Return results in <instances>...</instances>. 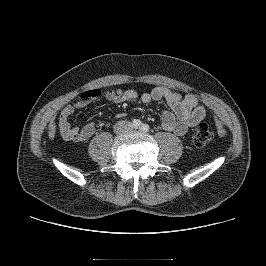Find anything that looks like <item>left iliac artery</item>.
Masks as SVG:
<instances>
[{
	"mask_svg": "<svg viewBox=\"0 0 266 266\" xmlns=\"http://www.w3.org/2000/svg\"><path fill=\"white\" fill-rule=\"evenodd\" d=\"M149 125H147V124H142V126L140 127V130L142 131V132H148L149 131Z\"/></svg>",
	"mask_w": 266,
	"mask_h": 266,
	"instance_id": "obj_1",
	"label": "left iliac artery"
}]
</instances>
